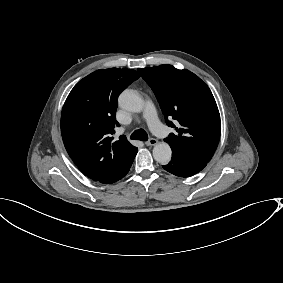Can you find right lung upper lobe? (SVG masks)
<instances>
[{"label":"right lung upper lobe","mask_w":283,"mask_h":283,"mask_svg":"<svg viewBox=\"0 0 283 283\" xmlns=\"http://www.w3.org/2000/svg\"><path fill=\"white\" fill-rule=\"evenodd\" d=\"M139 74L132 69L97 70L80 80L68 95L61 115L65 148L90 179L111 184L130 169L137 148L125 136L113 141L119 94Z\"/></svg>","instance_id":"right-lung-upper-lobe-1"}]
</instances>
